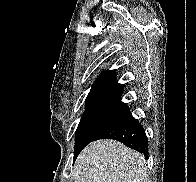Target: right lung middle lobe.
Masks as SVG:
<instances>
[{
  "instance_id": "1",
  "label": "right lung middle lobe",
  "mask_w": 196,
  "mask_h": 182,
  "mask_svg": "<svg viewBox=\"0 0 196 182\" xmlns=\"http://www.w3.org/2000/svg\"><path fill=\"white\" fill-rule=\"evenodd\" d=\"M130 113L126 105L96 104L87 106L75 136L74 157L101 131Z\"/></svg>"
}]
</instances>
